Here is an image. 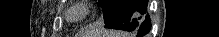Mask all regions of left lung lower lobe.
<instances>
[{
	"mask_svg": "<svg viewBox=\"0 0 219 37\" xmlns=\"http://www.w3.org/2000/svg\"><path fill=\"white\" fill-rule=\"evenodd\" d=\"M147 0H120L106 28L127 30L133 37H143L151 27L147 12Z\"/></svg>",
	"mask_w": 219,
	"mask_h": 37,
	"instance_id": "left-lung-lower-lobe-1",
	"label": "left lung lower lobe"
}]
</instances>
